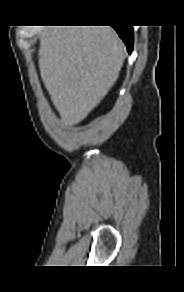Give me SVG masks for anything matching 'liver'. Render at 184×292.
<instances>
[{"instance_id":"obj_1","label":"liver","mask_w":184,"mask_h":292,"mask_svg":"<svg viewBox=\"0 0 184 292\" xmlns=\"http://www.w3.org/2000/svg\"><path fill=\"white\" fill-rule=\"evenodd\" d=\"M125 46L109 26H50L40 36L42 81L62 120L82 121L119 77Z\"/></svg>"}]
</instances>
